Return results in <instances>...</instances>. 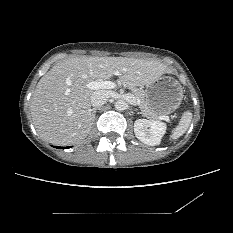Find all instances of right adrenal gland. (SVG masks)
<instances>
[{"label": "right adrenal gland", "mask_w": 233, "mask_h": 233, "mask_svg": "<svg viewBox=\"0 0 233 233\" xmlns=\"http://www.w3.org/2000/svg\"><path fill=\"white\" fill-rule=\"evenodd\" d=\"M98 109L99 108H93L92 109V117H93V119L95 118V115H96V112H97Z\"/></svg>", "instance_id": "right-adrenal-gland-1"}]
</instances>
